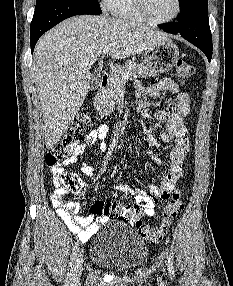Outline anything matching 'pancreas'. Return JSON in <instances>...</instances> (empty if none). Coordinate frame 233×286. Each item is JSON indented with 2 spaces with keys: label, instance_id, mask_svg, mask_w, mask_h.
<instances>
[{
  "label": "pancreas",
  "instance_id": "1",
  "mask_svg": "<svg viewBox=\"0 0 233 286\" xmlns=\"http://www.w3.org/2000/svg\"><path fill=\"white\" fill-rule=\"evenodd\" d=\"M124 75H128L129 77L124 78ZM154 75H156V73L147 66L133 61H127L125 65L118 67L111 73L110 84L107 88L102 90L96 98L95 108L102 117L109 116L114 111L118 94L127 80Z\"/></svg>",
  "mask_w": 233,
  "mask_h": 286
}]
</instances>
